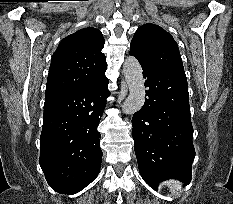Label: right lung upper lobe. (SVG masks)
Returning <instances> with one entry per match:
<instances>
[{
	"instance_id": "obj_1",
	"label": "right lung upper lobe",
	"mask_w": 233,
	"mask_h": 204,
	"mask_svg": "<svg viewBox=\"0 0 233 204\" xmlns=\"http://www.w3.org/2000/svg\"><path fill=\"white\" fill-rule=\"evenodd\" d=\"M105 40L92 27L65 37L54 52L48 74L45 101L85 87L106 69L101 52Z\"/></svg>"
}]
</instances>
